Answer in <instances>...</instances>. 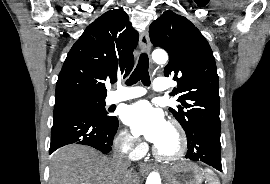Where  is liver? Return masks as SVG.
<instances>
[{"mask_svg": "<svg viewBox=\"0 0 270 184\" xmlns=\"http://www.w3.org/2000/svg\"><path fill=\"white\" fill-rule=\"evenodd\" d=\"M129 179L127 170L116 167L100 152L73 144L54 153L49 184H126Z\"/></svg>", "mask_w": 270, "mask_h": 184, "instance_id": "obj_1", "label": "liver"}]
</instances>
